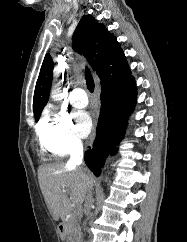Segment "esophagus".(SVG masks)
<instances>
[{
	"label": "esophagus",
	"mask_w": 187,
	"mask_h": 242,
	"mask_svg": "<svg viewBox=\"0 0 187 242\" xmlns=\"http://www.w3.org/2000/svg\"><path fill=\"white\" fill-rule=\"evenodd\" d=\"M94 135H95V133H93V135H92V139H93Z\"/></svg>",
	"instance_id": "1"
}]
</instances>
